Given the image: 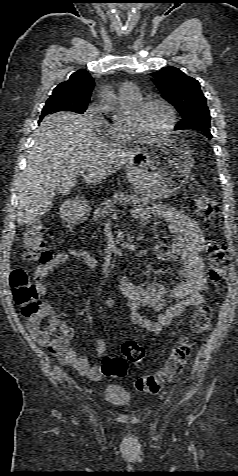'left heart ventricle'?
Returning <instances> with one entry per match:
<instances>
[{"label":"left heart ventricle","mask_w":238,"mask_h":476,"mask_svg":"<svg viewBox=\"0 0 238 476\" xmlns=\"http://www.w3.org/2000/svg\"><path fill=\"white\" fill-rule=\"evenodd\" d=\"M168 113L158 104L150 105L145 111L133 119L135 125L146 134H156L162 131L168 123Z\"/></svg>","instance_id":"obj_1"}]
</instances>
